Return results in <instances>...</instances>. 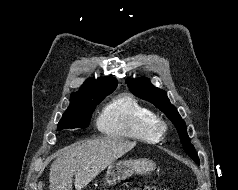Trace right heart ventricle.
Segmentation results:
<instances>
[{"label": "right heart ventricle", "mask_w": 238, "mask_h": 190, "mask_svg": "<svg viewBox=\"0 0 238 190\" xmlns=\"http://www.w3.org/2000/svg\"><path fill=\"white\" fill-rule=\"evenodd\" d=\"M155 113L131 95H120L107 103L96 124L108 136L155 143L159 135L154 127Z\"/></svg>", "instance_id": "right-heart-ventricle-1"}]
</instances>
